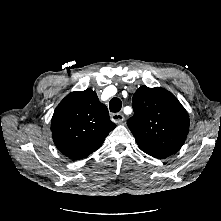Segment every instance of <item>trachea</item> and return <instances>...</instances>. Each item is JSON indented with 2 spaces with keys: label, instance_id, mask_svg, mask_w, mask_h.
I'll list each match as a JSON object with an SVG mask.
<instances>
[{
  "label": "trachea",
  "instance_id": "trachea-1",
  "mask_svg": "<svg viewBox=\"0 0 221 221\" xmlns=\"http://www.w3.org/2000/svg\"><path fill=\"white\" fill-rule=\"evenodd\" d=\"M122 108V102L119 98L114 97L110 100L109 102V109L113 113H117L121 110Z\"/></svg>",
  "mask_w": 221,
  "mask_h": 221
}]
</instances>
